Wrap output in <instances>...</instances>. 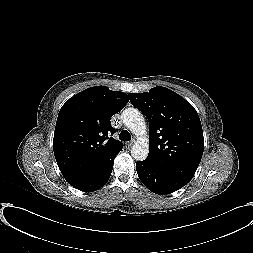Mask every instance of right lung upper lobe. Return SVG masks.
<instances>
[{"label": "right lung upper lobe", "instance_id": "right-lung-upper-lobe-1", "mask_svg": "<svg viewBox=\"0 0 253 253\" xmlns=\"http://www.w3.org/2000/svg\"><path fill=\"white\" fill-rule=\"evenodd\" d=\"M129 97L105 86L88 88L70 98L60 109L53 150L58 167L70 184L104 169L122 150L111 117L121 111Z\"/></svg>", "mask_w": 253, "mask_h": 253}]
</instances>
